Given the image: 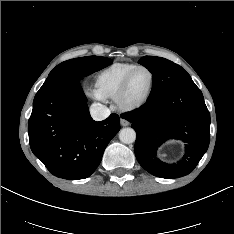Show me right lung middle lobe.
<instances>
[{
    "label": "right lung middle lobe",
    "mask_w": 234,
    "mask_h": 234,
    "mask_svg": "<svg viewBox=\"0 0 234 234\" xmlns=\"http://www.w3.org/2000/svg\"><path fill=\"white\" fill-rule=\"evenodd\" d=\"M112 60L106 57L99 56H87L80 57L57 65L49 74V76L59 73V72H71L73 76L81 80L84 76L92 74L96 71L103 69L104 67L110 65Z\"/></svg>",
    "instance_id": "dd1d6c3e"
}]
</instances>
